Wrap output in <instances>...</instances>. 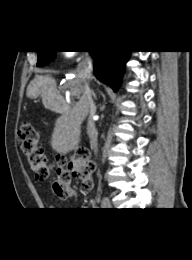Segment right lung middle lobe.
I'll use <instances>...</instances> for the list:
<instances>
[{
  "label": "right lung middle lobe",
  "mask_w": 192,
  "mask_h": 260,
  "mask_svg": "<svg viewBox=\"0 0 192 260\" xmlns=\"http://www.w3.org/2000/svg\"><path fill=\"white\" fill-rule=\"evenodd\" d=\"M56 56V51H38L37 66L41 67L51 62Z\"/></svg>",
  "instance_id": "dd1d6c3e"
}]
</instances>
